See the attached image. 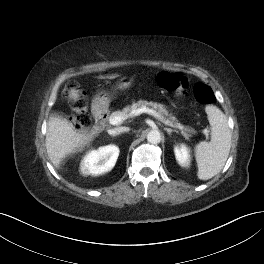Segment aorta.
<instances>
[{"mask_svg":"<svg viewBox=\"0 0 264 264\" xmlns=\"http://www.w3.org/2000/svg\"><path fill=\"white\" fill-rule=\"evenodd\" d=\"M147 141L151 144H158L161 141V134L158 130L153 129L147 134Z\"/></svg>","mask_w":264,"mask_h":264,"instance_id":"1","label":"aorta"}]
</instances>
